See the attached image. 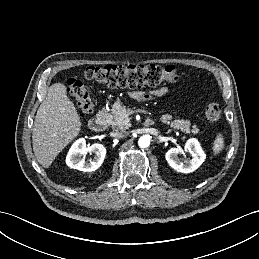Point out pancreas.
<instances>
[{
    "label": "pancreas",
    "instance_id": "obj_1",
    "mask_svg": "<svg viewBox=\"0 0 259 259\" xmlns=\"http://www.w3.org/2000/svg\"><path fill=\"white\" fill-rule=\"evenodd\" d=\"M109 119L111 125L117 126L120 129H127L131 125L128 110L119 102H116L113 105L112 112L109 114ZM171 119L172 116L170 114H166L161 118V121L164 124L169 125L171 128L181 130L187 134H197L199 132L197 125L191 126L189 120L177 119L172 121Z\"/></svg>",
    "mask_w": 259,
    "mask_h": 259
}]
</instances>
